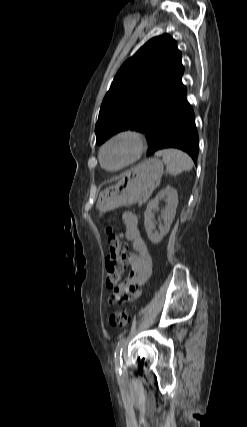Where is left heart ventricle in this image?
Returning a JSON list of instances; mask_svg holds the SVG:
<instances>
[{"mask_svg":"<svg viewBox=\"0 0 247 427\" xmlns=\"http://www.w3.org/2000/svg\"><path fill=\"white\" fill-rule=\"evenodd\" d=\"M133 153L130 140H120L110 145L103 153L104 164L109 168L117 167L127 161Z\"/></svg>","mask_w":247,"mask_h":427,"instance_id":"left-heart-ventricle-1","label":"left heart ventricle"}]
</instances>
